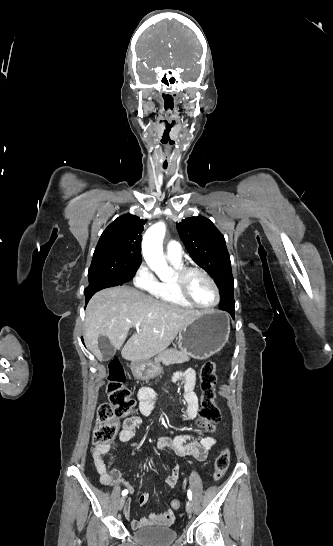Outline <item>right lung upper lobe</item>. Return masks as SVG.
I'll return each instance as SVG.
<instances>
[{"label":"right lung upper lobe","mask_w":333,"mask_h":546,"mask_svg":"<svg viewBox=\"0 0 333 546\" xmlns=\"http://www.w3.org/2000/svg\"><path fill=\"white\" fill-rule=\"evenodd\" d=\"M146 220L124 214L115 219L102 233L94 253L116 252L130 256L134 264L141 263V233Z\"/></svg>","instance_id":"right-lung-upper-lobe-1"}]
</instances>
